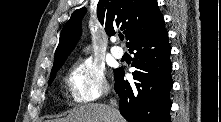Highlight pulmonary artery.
I'll return each instance as SVG.
<instances>
[{
    "instance_id": "e3ab8cb5",
    "label": "pulmonary artery",
    "mask_w": 221,
    "mask_h": 122,
    "mask_svg": "<svg viewBox=\"0 0 221 122\" xmlns=\"http://www.w3.org/2000/svg\"><path fill=\"white\" fill-rule=\"evenodd\" d=\"M116 40H117V38H113V42H116ZM111 54H112L115 58L120 59V58L123 57L124 51H123V49H122L121 47H119V46H113V47L111 48Z\"/></svg>"
}]
</instances>
